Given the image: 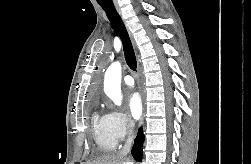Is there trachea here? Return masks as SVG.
Instances as JSON below:
<instances>
[{
	"label": "trachea",
	"instance_id": "trachea-1",
	"mask_svg": "<svg viewBox=\"0 0 251 164\" xmlns=\"http://www.w3.org/2000/svg\"><path fill=\"white\" fill-rule=\"evenodd\" d=\"M100 6L106 12L112 26L114 27V29L116 30V32L121 38L127 65L129 66L130 69L135 71L137 67V62H136L134 49H133L130 37L128 35V32L126 30V27L123 21L121 20L112 0L111 2L100 4Z\"/></svg>",
	"mask_w": 251,
	"mask_h": 164
}]
</instances>
